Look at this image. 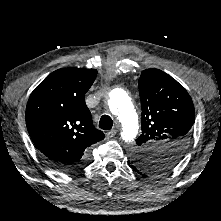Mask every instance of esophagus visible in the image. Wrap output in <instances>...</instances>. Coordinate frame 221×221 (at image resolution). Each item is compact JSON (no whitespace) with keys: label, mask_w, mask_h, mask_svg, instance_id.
Listing matches in <instances>:
<instances>
[{"label":"esophagus","mask_w":221,"mask_h":221,"mask_svg":"<svg viewBox=\"0 0 221 221\" xmlns=\"http://www.w3.org/2000/svg\"><path fill=\"white\" fill-rule=\"evenodd\" d=\"M116 133H117V131L115 129H112V130H109L106 132V136L108 138H112Z\"/></svg>","instance_id":"34e87169"}]
</instances>
